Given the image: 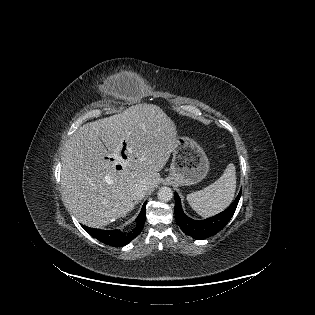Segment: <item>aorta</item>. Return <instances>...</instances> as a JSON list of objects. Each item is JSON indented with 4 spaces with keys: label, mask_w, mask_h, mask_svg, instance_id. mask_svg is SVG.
<instances>
[{
    "label": "aorta",
    "mask_w": 315,
    "mask_h": 315,
    "mask_svg": "<svg viewBox=\"0 0 315 315\" xmlns=\"http://www.w3.org/2000/svg\"><path fill=\"white\" fill-rule=\"evenodd\" d=\"M157 197L162 202H168L173 198V191L169 187H161L158 190Z\"/></svg>",
    "instance_id": "aorta-1"
}]
</instances>
